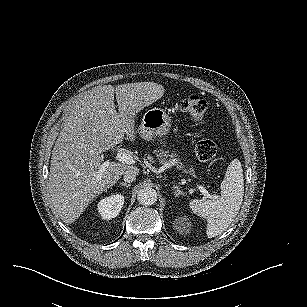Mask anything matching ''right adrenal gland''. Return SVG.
<instances>
[{"mask_svg": "<svg viewBox=\"0 0 307 307\" xmlns=\"http://www.w3.org/2000/svg\"><path fill=\"white\" fill-rule=\"evenodd\" d=\"M120 185H122V186H124V187H126V188H128V187H130L131 186V184H127V183H125V182H120Z\"/></svg>", "mask_w": 307, "mask_h": 307, "instance_id": "obj_1", "label": "right adrenal gland"}]
</instances>
